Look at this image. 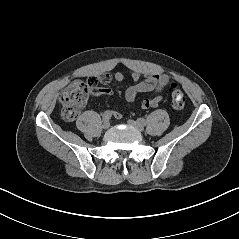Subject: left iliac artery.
<instances>
[{
	"instance_id": "1",
	"label": "left iliac artery",
	"mask_w": 239,
	"mask_h": 239,
	"mask_svg": "<svg viewBox=\"0 0 239 239\" xmlns=\"http://www.w3.org/2000/svg\"><path fill=\"white\" fill-rule=\"evenodd\" d=\"M138 122L142 125H146V120L144 118H138Z\"/></svg>"
}]
</instances>
